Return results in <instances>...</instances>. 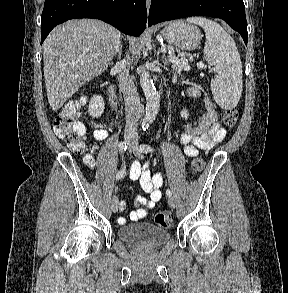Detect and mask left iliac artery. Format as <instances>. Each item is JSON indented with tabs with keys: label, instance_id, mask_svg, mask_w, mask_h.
Returning a JSON list of instances; mask_svg holds the SVG:
<instances>
[{
	"label": "left iliac artery",
	"instance_id": "1",
	"mask_svg": "<svg viewBox=\"0 0 288 293\" xmlns=\"http://www.w3.org/2000/svg\"><path fill=\"white\" fill-rule=\"evenodd\" d=\"M139 151L144 152V153H148V152H152L153 148L148 144H141L139 146ZM166 194H167V196H172V191L170 189H167Z\"/></svg>",
	"mask_w": 288,
	"mask_h": 293
}]
</instances>
